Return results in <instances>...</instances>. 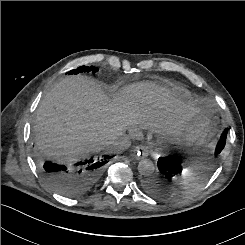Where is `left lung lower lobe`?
Instances as JSON below:
<instances>
[{
  "mask_svg": "<svg viewBox=\"0 0 245 245\" xmlns=\"http://www.w3.org/2000/svg\"><path fill=\"white\" fill-rule=\"evenodd\" d=\"M227 137V129L224 130L217 144L214 155L217 156L224 148ZM158 175L147 177L142 185L144 190L152 196L161 198L168 192L164 184L178 180L182 173L181 161L175 156L160 157L158 159Z\"/></svg>",
  "mask_w": 245,
  "mask_h": 245,
  "instance_id": "1",
  "label": "left lung lower lobe"
}]
</instances>
